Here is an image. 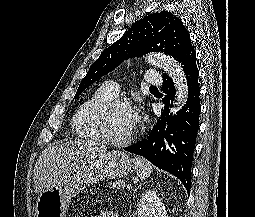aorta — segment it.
I'll return each mask as SVG.
<instances>
[{"instance_id": "762f6f07", "label": "aorta", "mask_w": 255, "mask_h": 217, "mask_svg": "<svg viewBox=\"0 0 255 217\" xmlns=\"http://www.w3.org/2000/svg\"><path fill=\"white\" fill-rule=\"evenodd\" d=\"M149 64L162 68L175 84V111L180 110L188 99L187 79L184 71L176 60L163 53H151L146 57Z\"/></svg>"}]
</instances>
